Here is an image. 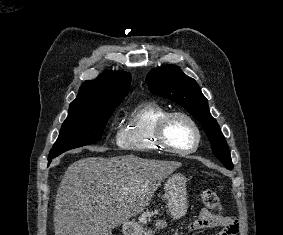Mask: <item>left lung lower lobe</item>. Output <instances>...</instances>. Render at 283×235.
I'll return each instance as SVG.
<instances>
[{
  "instance_id": "left-lung-lower-lobe-1",
  "label": "left lung lower lobe",
  "mask_w": 283,
  "mask_h": 235,
  "mask_svg": "<svg viewBox=\"0 0 283 235\" xmlns=\"http://www.w3.org/2000/svg\"><path fill=\"white\" fill-rule=\"evenodd\" d=\"M222 163L224 164V166H225L227 169L232 170V168H233L232 162H230V163L222 162Z\"/></svg>"
}]
</instances>
